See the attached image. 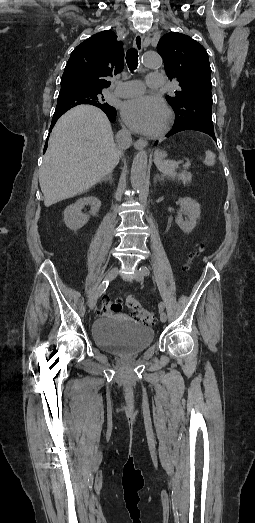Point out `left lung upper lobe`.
<instances>
[{"label":"left lung upper lobe","mask_w":255,"mask_h":523,"mask_svg":"<svg viewBox=\"0 0 255 523\" xmlns=\"http://www.w3.org/2000/svg\"><path fill=\"white\" fill-rule=\"evenodd\" d=\"M157 51L163 58L167 76L179 82V90L166 97L176 114V118H172L173 128L176 125L202 127L215 137L211 68L205 48L187 35L170 32L160 38Z\"/></svg>","instance_id":"obj_1"}]
</instances>
